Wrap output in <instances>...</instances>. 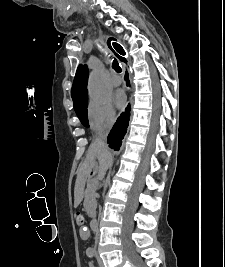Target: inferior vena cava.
<instances>
[{
  "label": "inferior vena cava",
  "instance_id": "obj_1",
  "mask_svg": "<svg viewBox=\"0 0 225 267\" xmlns=\"http://www.w3.org/2000/svg\"><path fill=\"white\" fill-rule=\"evenodd\" d=\"M113 125V121H109L98 133V136L95 142L105 151H108L107 147V136L110 132V129ZM98 241V235L96 234L95 243Z\"/></svg>",
  "mask_w": 225,
  "mask_h": 267
}]
</instances>
